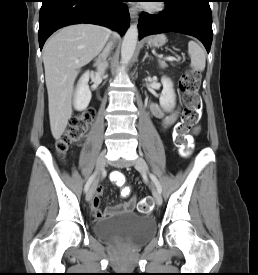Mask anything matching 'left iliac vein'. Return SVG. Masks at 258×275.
<instances>
[{
  "label": "left iliac vein",
  "instance_id": "1",
  "mask_svg": "<svg viewBox=\"0 0 258 275\" xmlns=\"http://www.w3.org/2000/svg\"><path fill=\"white\" fill-rule=\"evenodd\" d=\"M134 166L140 172L146 173L148 171V165L142 157H139L135 161ZM153 195H154V199L156 201V204L160 206L162 204L161 194L158 192V190L154 189Z\"/></svg>",
  "mask_w": 258,
  "mask_h": 275
}]
</instances>
